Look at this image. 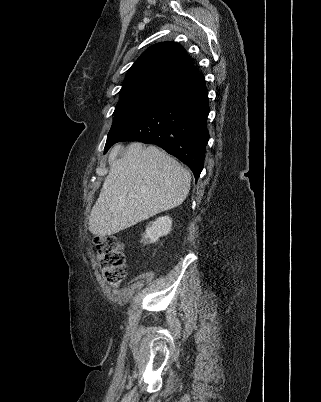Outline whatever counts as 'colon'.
Returning <instances> with one entry per match:
<instances>
[{
  "label": "colon",
  "instance_id": "colon-1",
  "mask_svg": "<svg viewBox=\"0 0 321 402\" xmlns=\"http://www.w3.org/2000/svg\"><path fill=\"white\" fill-rule=\"evenodd\" d=\"M94 246V256L104 282L113 288L119 287L127 274L121 241L113 236L97 235Z\"/></svg>",
  "mask_w": 321,
  "mask_h": 402
}]
</instances>
